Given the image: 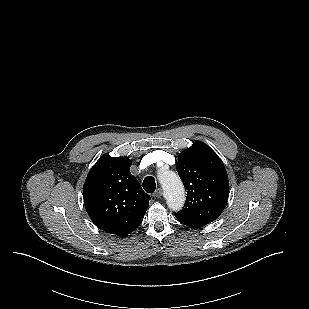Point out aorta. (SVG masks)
<instances>
[{"label":"aorta","instance_id":"aorta-1","mask_svg":"<svg viewBox=\"0 0 309 309\" xmlns=\"http://www.w3.org/2000/svg\"><path fill=\"white\" fill-rule=\"evenodd\" d=\"M164 190L168 207L173 211L182 209L185 202V189L179 176L170 170H162L158 175Z\"/></svg>","mask_w":309,"mask_h":309}]
</instances>
